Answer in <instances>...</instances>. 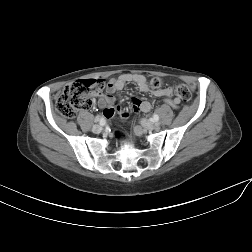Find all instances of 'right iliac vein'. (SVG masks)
I'll return each mask as SVG.
<instances>
[{
	"mask_svg": "<svg viewBox=\"0 0 252 252\" xmlns=\"http://www.w3.org/2000/svg\"><path fill=\"white\" fill-rule=\"evenodd\" d=\"M93 133H100L102 131V127L100 125H94L92 128Z\"/></svg>",
	"mask_w": 252,
	"mask_h": 252,
	"instance_id": "63e3f726",
	"label": "right iliac vein"
}]
</instances>
